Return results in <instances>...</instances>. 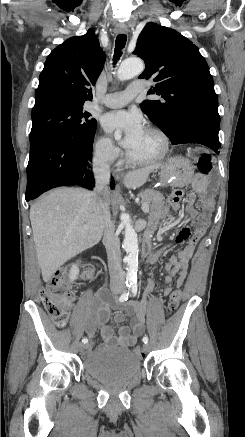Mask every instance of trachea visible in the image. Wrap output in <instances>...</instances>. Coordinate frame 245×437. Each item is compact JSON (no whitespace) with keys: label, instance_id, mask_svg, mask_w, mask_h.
Here are the masks:
<instances>
[{"label":"trachea","instance_id":"3493384b","mask_svg":"<svg viewBox=\"0 0 245 437\" xmlns=\"http://www.w3.org/2000/svg\"><path fill=\"white\" fill-rule=\"evenodd\" d=\"M127 41V36L124 34L118 35L116 38L115 49H114V64L119 60L122 55V50L125 47Z\"/></svg>","mask_w":245,"mask_h":437}]
</instances>
